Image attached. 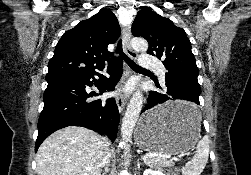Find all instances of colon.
<instances>
[{
    "label": "colon",
    "instance_id": "obj_1",
    "mask_svg": "<svg viewBox=\"0 0 251 175\" xmlns=\"http://www.w3.org/2000/svg\"><path fill=\"white\" fill-rule=\"evenodd\" d=\"M168 175H179V172L177 170H169Z\"/></svg>",
    "mask_w": 251,
    "mask_h": 175
}]
</instances>
